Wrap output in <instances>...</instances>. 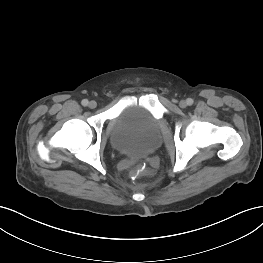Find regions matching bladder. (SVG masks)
<instances>
[{"label": "bladder", "instance_id": "bladder-1", "mask_svg": "<svg viewBox=\"0 0 263 263\" xmlns=\"http://www.w3.org/2000/svg\"><path fill=\"white\" fill-rule=\"evenodd\" d=\"M114 149L128 156H144L161 144L160 124L153 114L137 104L125 106L110 134Z\"/></svg>", "mask_w": 263, "mask_h": 263}]
</instances>
